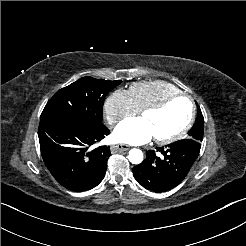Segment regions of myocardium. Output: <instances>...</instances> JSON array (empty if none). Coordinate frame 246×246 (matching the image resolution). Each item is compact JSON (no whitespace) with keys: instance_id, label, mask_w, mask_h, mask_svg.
I'll return each instance as SVG.
<instances>
[{"instance_id":"myocardium-1","label":"myocardium","mask_w":246,"mask_h":246,"mask_svg":"<svg viewBox=\"0 0 246 246\" xmlns=\"http://www.w3.org/2000/svg\"><path fill=\"white\" fill-rule=\"evenodd\" d=\"M177 98H185L188 100V102L190 104V113H189L188 119H187L185 125L179 131H177L175 134L168 136V137H165V138H154L155 142L158 144L165 145V144L172 143V142L180 139L192 127V124H193V121L195 118V107H194V103H193L192 98L185 93H177V94H174V95L162 100L161 102H159L157 104H153V105H150L148 107H145L139 113V115L142 116V115L149 113V112H158V111L164 109L171 101H173Z\"/></svg>"}]
</instances>
